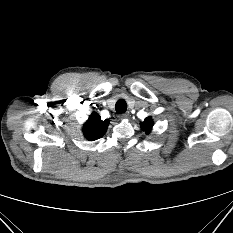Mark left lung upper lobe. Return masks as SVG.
<instances>
[{
	"label": "left lung upper lobe",
	"instance_id": "obj_1",
	"mask_svg": "<svg viewBox=\"0 0 233 233\" xmlns=\"http://www.w3.org/2000/svg\"><path fill=\"white\" fill-rule=\"evenodd\" d=\"M152 126H153V121L150 117L146 118L144 122L141 123V128L147 133L151 131Z\"/></svg>",
	"mask_w": 233,
	"mask_h": 233
}]
</instances>
